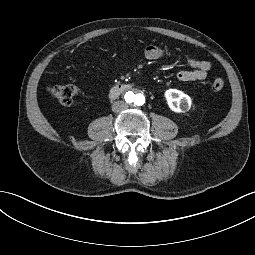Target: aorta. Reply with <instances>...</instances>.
Segmentation results:
<instances>
[{"instance_id": "obj_1", "label": "aorta", "mask_w": 255, "mask_h": 255, "mask_svg": "<svg viewBox=\"0 0 255 255\" xmlns=\"http://www.w3.org/2000/svg\"><path fill=\"white\" fill-rule=\"evenodd\" d=\"M125 100L129 105L142 106L145 103V96L137 90H129L125 94Z\"/></svg>"}]
</instances>
